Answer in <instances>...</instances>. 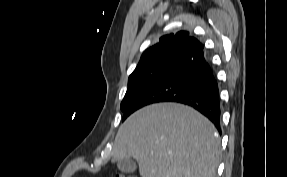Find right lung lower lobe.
<instances>
[{"instance_id": "obj_1", "label": "right lung lower lobe", "mask_w": 287, "mask_h": 177, "mask_svg": "<svg viewBox=\"0 0 287 177\" xmlns=\"http://www.w3.org/2000/svg\"><path fill=\"white\" fill-rule=\"evenodd\" d=\"M156 102L189 105L206 116L221 132L218 83L203 49L192 60L181 62L153 81L124 115L128 117L137 109Z\"/></svg>"}]
</instances>
